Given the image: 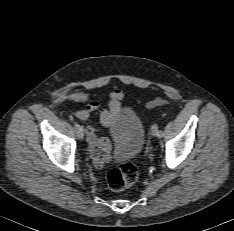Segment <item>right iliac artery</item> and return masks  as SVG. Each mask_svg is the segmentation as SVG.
Listing matches in <instances>:
<instances>
[{
	"label": "right iliac artery",
	"mask_w": 234,
	"mask_h": 231,
	"mask_svg": "<svg viewBox=\"0 0 234 231\" xmlns=\"http://www.w3.org/2000/svg\"><path fill=\"white\" fill-rule=\"evenodd\" d=\"M74 128H75L77 133H79L82 130V127L76 122L74 123Z\"/></svg>",
	"instance_id": "1"
}]
</instances>
